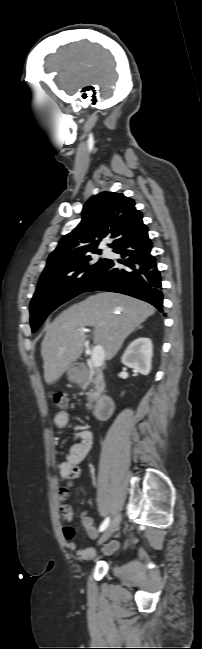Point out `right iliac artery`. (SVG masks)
<instances>
[{
    "instance_id": "right-iliac-artery-1",
    "label": "right iliac artery",
    "mask_w": 202,
    "mask_h": 649,
    "mask_svg": "<svg viewBox=\"0 0 202 649\" xmlns=\"http://www.w3.org/2000/svg\"><path fill=\"white\" fill-rule=\"evenodd\" d=\"M109 522H110V518L107 517V518L102 522V524H101V526H100V528H99V531H100V532L104 531V530L107 528V526L109 525Z\"/></svg>"
}]
</instances>
